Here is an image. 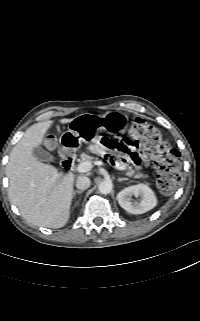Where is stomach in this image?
I'll use <instances>...</instances> for the list:
<instances>
[{
	"mask_svg": "<svg viewBox=\"0 0 200 321\" xmlns=\"http://www.w3.org/2000/svg\"><path fill=\"white\" fill-rule=\"evenodd\" d=\"M127 115L113 111L103 116L81 114L73 118L69 129L60 138L62 148L69 152L78 150L82 142L95 140V134L100 130L108 133L123 132L127 129Z\"/></svg>",
	"mask_w": 200,
	"mask_h": 321,
	"instance_id": "stomach-1",
	"label": "stomach"
}]
</instances>
